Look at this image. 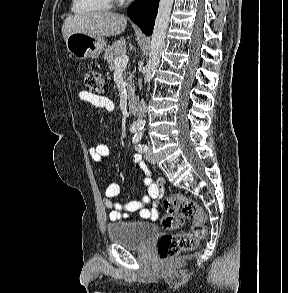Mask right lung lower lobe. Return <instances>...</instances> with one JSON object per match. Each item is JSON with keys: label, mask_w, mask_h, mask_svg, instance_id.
<instances>
[{"label": "right lung lower lobe", "mask_w": 288, "mask_h": 293, "mask_svg": "<svg viewBox=\"0 0 288 293\" xmlns=\"http://www.w3.org/2000/svg\"><path fill=\"white\" fill-rule=\"evenodd\" d=\"M159 0H136L127 10L130 19L147 35L152 34Z\"/></svg>", "instance_id": "98d812e1"}]
</instances>
